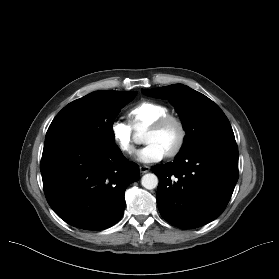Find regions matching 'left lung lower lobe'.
I'll list each match as a JSON object with an SVG mask.
<instances>
[{
	"mask_svg": "<svg viewBox=\"0 0 279 279\" xmlns=\"http://www.w3.org/2000/svg\"><path fill=\"white\" fill-rule=\"evenodd\" d=\"M159 178L161 216L182 229L203 226L226 208L238 180L235 139L200 143L173 162L152 168Z\"/></svg>",
	"mask_w": 279,
	"mask_h": 279,
	"instance_id": "1",
	"label": "left lung lower lobe"
}]
</instances>
